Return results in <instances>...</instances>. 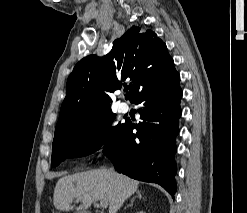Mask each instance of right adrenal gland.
I'll return each instance as SVG.
<instances>
[{
  "instance_id": "2a0ac1e0",
  "label": "right adrenal gland",
  "mask_w": 247,
  "mask_h": 213,
  "mask_svg": "<svg viewBox=\"0 0 247 213\" xmlns=\"http://www.w3.org/2000/svg\"><path fill=\"white\" fill-rule=\"evenodd\" d=\"M136 198H139V199H141V198H142V194H141V192H140V191H137V192H136V196H135V197H133V198L131 199L130 204H129V205H127V207L132 206V205H133V202H134V200H135ZM125 209H126V207H125Z\"/></svg>"
}]
</instances>
